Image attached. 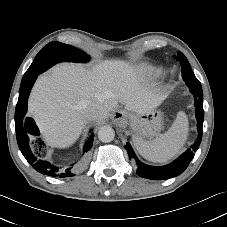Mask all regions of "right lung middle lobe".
I'll use <instances>...</instances> for the list:
<instances>
[{
    "instance_id": "right-lung-middle-lobe-1",
    "label": "right lung middle lobe",
    "mask_w": 227,
    "mask_h": 227,
    "mask_svg": "<svg viewBox=\"0 0 227 227\" xmlns=\"http://www.w3.org/2000/svg\"><path fill=\"white\" fill-rule=\"evenodd\" d=\"M54 58H56L57 61L51 62ZM88 59L89 56L85 52L71 45L63 44L57 41L50 42L37 54L31 66L24 74L22 82L28 80L37 72H39V74L44 72L57 62H84Z\"/></svg>"
}]
</instances>
